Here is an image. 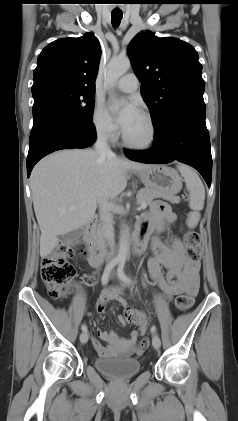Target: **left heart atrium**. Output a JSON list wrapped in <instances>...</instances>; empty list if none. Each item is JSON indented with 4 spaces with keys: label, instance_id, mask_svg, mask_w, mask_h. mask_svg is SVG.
Here are the masks:
<instances>
[{
    "label": "left heart atrium",
    "instance_id": "1",
    "mask_svg": "<svg viewBox=\"0 0 238 421\" xmlns=\"http://www.w3.org/2000/svg\"><path fill=\"white\" fill-rule=\"evenodd\" d=\"M116 107H117L116 103L111 104L112 109H115ZM138 114H139V110H138L137 106L132 101L127 102L118 115V122L120 123V125L124 129L125 127H127L132 122V120Z\"/></svg>",
    "mask_w": 238,
    "mask_h": 421
}]
</instances>
